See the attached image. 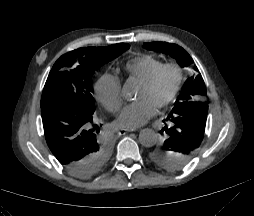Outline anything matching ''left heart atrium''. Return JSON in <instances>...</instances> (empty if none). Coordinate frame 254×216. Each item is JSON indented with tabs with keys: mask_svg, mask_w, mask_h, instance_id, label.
<instances>
[{
	"mask_svg": "<svg viewBox=\"0 0 254 216\" xmlns=\"http://www.w3.org/2000/svg\"><path fill=\"white\" fill-rule=\"evenodd\" d=\"M155 114V106L147 99H139L127 105L117 120L122 128L132 129L143 125Z\"/></svg>",
	"mask_w": 254,
	"mask_h": 216,
	"instance_id": "1",
	"label": "left heart atrium"
}]
</instances>
